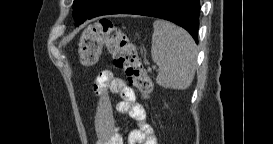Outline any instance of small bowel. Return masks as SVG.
I'll use <instances>...</instances> for the list:
<instances>
[{"instance_id": "small-bowel-1", "label": "small bowel", "mask_w": 273, "mask_h": 144, "mask_svg": "<svg viewBox=\"0 0 273 144\" xmlns=\"http://www.w3.org/2000/svg\"><path fill=\"white\" fill-rule=\"evenodd\" d=\"M97 100L94 125L99 144H123V138L115 124L111 94H117L116 110L126 115L137 126L127 135L128 144H157V136L147 121L145 108L137 102L135 91L110 70H103L93 84Z\"/></svg>"}]
</instances>
